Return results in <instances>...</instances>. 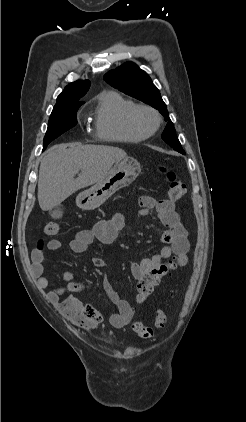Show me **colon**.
<instances>
[{"label":"colon","mask_w":246,"mask_h":422,"mask_svg":"<svg viewBox=\"0 0 246 422\" xmlns=\"http://www.w3.org/2000/svg\"><path fill=\"white\" fill-rule=\"evenodd\" d=\"M161 171L166 174L169 182L167 190L168 198L173 201L180 199L186 192L185 184L177 178L173 171H169L164 167L161 168ZM43 231L46 235L53 236L59 232V226L56 223L49 222L44 226ZM38 249L42 250L41 243H39ZM187 263V255L180 254L145 273L141 279L138 280L137 301L139 303H143L154 291L155 287L160 283L164 276L179 267L185 266ZM166 323L167 317L165 313L160 309L156 310L154 317V324L156 328L162 329L166 326ZM132 327L133 330L143 338L151 337L153 333L151 328L143 325L141 322H135Z\"/></svg>","instance_id":"colon-1"}]
</instances>
